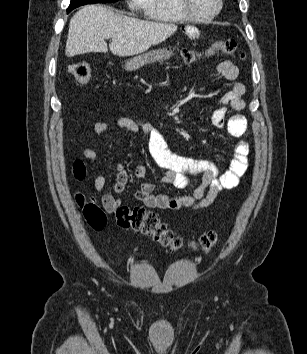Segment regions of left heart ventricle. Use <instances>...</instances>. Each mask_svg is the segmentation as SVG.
I'll return each instance as SVG.
<instances>
[{"label":"left heart ventricle","instance_id":"1","mask_svg":"<svg viewBox=\"0 0 307 354\" xmlns=\"http://www.w3.org/2000/svg\"><path fill=\"white\" fill-rule=\"evenodd\" d=\"M190 11L196 16H208L217 8V0H188Z\"/></svg>","mask_w":307,"mask_h":354}]
</instances>
